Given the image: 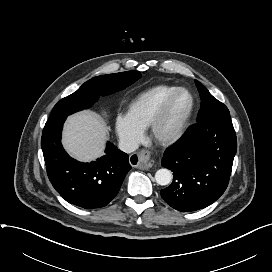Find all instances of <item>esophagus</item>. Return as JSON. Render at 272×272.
<instances>
[{
  "mask_svg": "<svg viewBox=\"0 0 272 272\" xmlns=\"http://www.w3.org/2000/svg\"><path fill=\"white\" fill-rule=\"evenodd\" d=\"M132 164H136L140 169L148 170L154 165V160L151 159L150 152L147 150H141L137 155L131 157Z\"/></svg>",
  "mask_w": 272,
  "mask_h": 272,
  "instance_id": "1",
  "label": "esophagus"
}]
</instances>
